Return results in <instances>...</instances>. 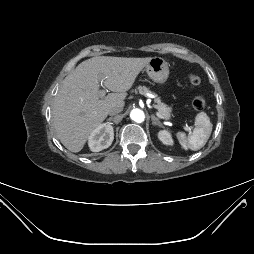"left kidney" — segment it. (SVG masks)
<instances>
[{
	"label": "left kidney",
	"mask_w": 254,
	"mask_h": 254,
	"mask_svg": "<svg viewBox=\"0 0 254 254\" xmlns=\"http://www.w3.org/2000/svg\"><path fill=\"white\" fill-rule=\"evenodd\" d=\"M158 138L165 145H173V139L171 137V134L166 130L159 131Z\"/></svg>",
	"instance_id": "5707ae66"
}]
</instances>
